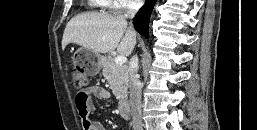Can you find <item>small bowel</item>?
<instances>
[{
	"label": "small bowel",
	"instance_id": "c3829d8e",
	"mask_svg": "<svg viewBox=\"0 0 257 130\" xmlns=\"http://www.w3.org/2000/svg\"><path fill=\"white\" fill-rule=\"evenodd\" d=\"M93 97L98 99H108L110 93L102 86L92 85L79 91L75 97V106L79 117L81 118L83 130H106L99 121L89 119V115L94 111Z\"/></svg>",
	"mask_w": 257,
	"mask_h": 130
}]
</instances>
